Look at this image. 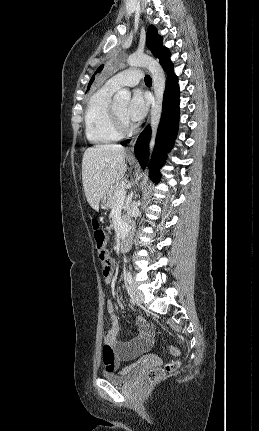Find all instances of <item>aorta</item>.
I'll use <instances>...</instances> for the list:
<instances>
[{"label": "aorta", "instance_id": "1", "mask_svg": "<svg viewBox=\"0 0 259 431\" xmlns=\"http://www.w3.org/2000/svg\"><path fill=\"white\" fill-rule=\"evenodd\" d=\"M127 63L131 67H145L149 70L153 80L154 97L151 104V129L152 136L150 140V153H152L155 145V137L157 128L159 125L161 112H162V101L165 90V75L162 67L152 57L144 54H133L127 59ZM131 99V93L127 89H121L114 95V103L116 105H127ZM148 167L145 169L143 184H146L148 180Z\"/></svg>", "mask_w": 259, "mask_h": 431}]
</instances>
